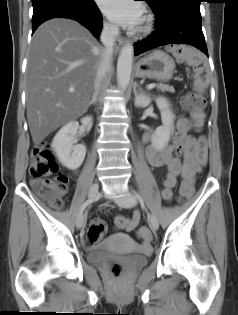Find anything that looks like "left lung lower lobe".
<instances>
[{
  "instance_id": "obj_1",
  "label": "left lung lower lobe",
  "mask_w": 238,
  "mask_h": 315,
  "mask_svg": "<svg viewBox=\"0 0 238 315\" xmlns=\"http://www.w3.org/2000/svg\"><path fill=\"white\" fill-rule=\"evenodd\" d=\"M200 2L201 0H167L156 8L151 7L156 15V31L135 44V55L161 45L185 43L208 56L202 32Z\"/></svg>"
}]
</instances>
